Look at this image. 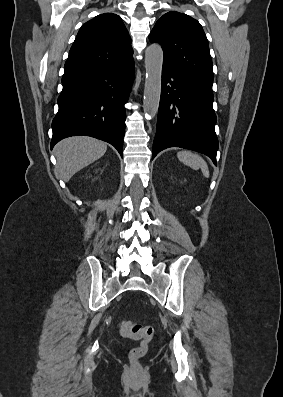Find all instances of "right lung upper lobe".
Here are the masks:
<instances>
[{
  "label": "right lung upper lobe",
  "mask_w": 283,
  "mask_h": 397,
  "mask_svg": "<svg viewBox=\"0 0 283 397\" xmlns=\"http://www.w3.org/2000/svg\"><path fill=\"white\" fill-rule=\"evenodd\" d=\"M131 38L122 19L113 13L98 15L79 30L65 63L62 80L133 60Z\"/></svg>",
  "instance_id": "1"
}]
</instances>
